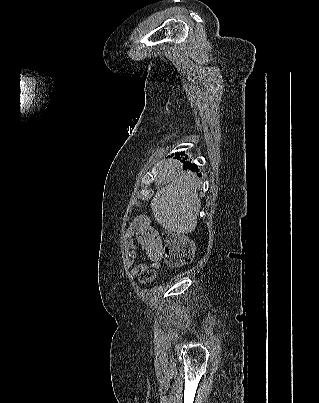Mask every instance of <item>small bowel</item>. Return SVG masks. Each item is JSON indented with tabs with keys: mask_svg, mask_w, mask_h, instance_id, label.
Here are the masks:
<instances>
[{
	"mask_svg": "<svg viewBox=\"0 0 319 403\" xmlns=\"http://www.w3.org/2000/svg\"><path fill=\"white\" fill-rule=\"evenodd\" d=\"M136 257H137V255L134 250V246H132L131 250L128 252V254L125 257V265L127 267H132L129 272V275L132 278L136 277L139 274V272L147 271L150 267L156 268L158 266V262H153L152 264L142 262L136 266H133L134 262L136 260Z\"/></svg>",
	"mask_w": 319,
	"mask_h": 403,
	"instance_id": "c3829d8e",
	"label": "small bowel"
}]
</instances>
